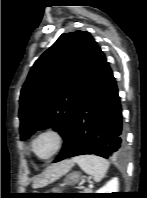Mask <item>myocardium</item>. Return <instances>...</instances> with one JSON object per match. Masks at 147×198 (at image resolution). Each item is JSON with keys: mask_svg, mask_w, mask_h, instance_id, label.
<instances>
[{"mask_svg": "<svg viewBox=\"0 0 147 198\" xmlns=\"http://www.w3.org/2000/svg\"><path fill=\"white\" fill-rule=\"evenodd\" d=\"M43 136H51V137H53V139L55 141V146H54L53 151L45 157L39 156L35 151V144H36L37 140ZM63 145H64V136L61 133V131L54 127H48V128L42 129L41 131H39L38 133L35 134V136L31 140L30 148H31L32 154L37 159H39L41 161H48V160L52 159L54 156H56L62 150Z\"/></svg>", "mask_w": 147, "mask_h": 198, "instance_id": "f54148a6", "label": "myocardium"}]
</instances>
